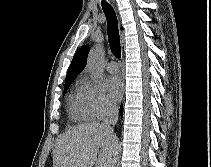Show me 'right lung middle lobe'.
Here are the masks:
<instances>
[{"mask_svg": "<svg viewBox=\"0 0 211 167\" xmlns=\"http://www.w3.org/2000/svg\"><path fill=\"white\" fill-rule=\"evenodd\" d=\"M71 83H72V81L65 82V85H64V94L66 93V91L69 88V86H70Z\"/></svg>", "mask_w": 211, "mask_h": 167, "instance_id": "dd1d6c3e", "label": "right lung middle lobe"}]
</instances>
